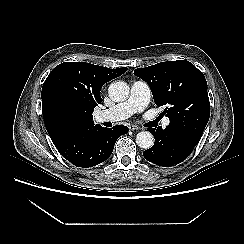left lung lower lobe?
<instances>
[{
  "mask_svg": "<svg viewBox=\"0 0 244 244\" xmlns=\"http://www.w3.org/2000/svg\"><path fill=\"white\" fill-rule=\"evenodd\" d=\"M155 137L154 145L143 152L144 158L159 166H172L184 161L193 151L200 139L190 137L187 133L160 126L151 128Z\"/></svg>",
  "mask_w": 244,
  "mask_h": 244,
  "instance_id": "1",
  "label": "left lung lower lobe"
}]
</instances>
